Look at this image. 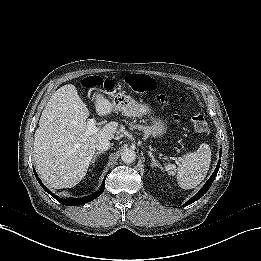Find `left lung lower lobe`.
<instances>
[{
    "label": "left lung lower lobe",
    "instance_id": "left-lung-lower-lobe-1",
    "mask_svg": "<svg viewBox=\"0 0 261 261\" xmlns=\"http://www.w3.org/2000/svg\"><path fill=\"white\" fill-rule=\"evenodd\" d=\"M219 166H220V160L218 161L217 167L214 170V173L212 174V176L207 181V183L202 187V189L194 197H192L189 201H187L186 204H184V206H188V205L192 204L193 202H195L196 200L201 198L208 191V189L210 188L211 184L213 183V181L218 173Z\"/></svg>",
    "mask_w": 261,
    "mask_h": 261
}]
</instances>
